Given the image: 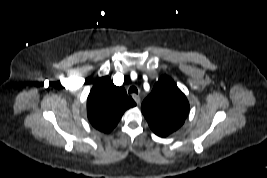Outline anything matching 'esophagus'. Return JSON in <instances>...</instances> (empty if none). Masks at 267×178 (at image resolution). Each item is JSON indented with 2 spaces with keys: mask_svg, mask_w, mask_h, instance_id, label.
Listing matches in <instances>:
<instances>
[{
  "mask_svg": "<svg viewBox=\"0 0 267 178\" xmlns=\"http://www.w3.org/2000/svg\"><path fill=\"white\" fill-rule=\"evenodd\" d=\"M132 97L137 104H140V97L138 95L133 94Z\"/></svg>",
  "mask_w": 267,
  "mask_h": 178,
  "instance_id": "esophagus-1",
  "label": "esophagus"
}]
</instances>
